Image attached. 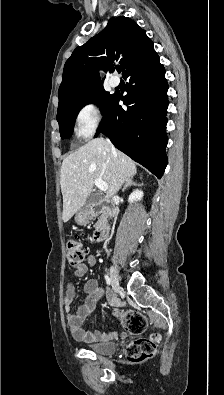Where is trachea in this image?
<instances>
[{
	"mask_svg": "<svg viewBox=\"0 0 224 395\" xmlns=\"http://www.w3.org/2000/svg\"><path fill=\"white\" fill-rule=\"evenodd\" d=\"M121 70H122V68H117V71H118V73H120L121 72Z\"/></svg>",
	"mask_w": 224,
	"mask_h": 395,
	"instance_id": "trachea-1",
	"label": "trachea"
}]
</instances>
